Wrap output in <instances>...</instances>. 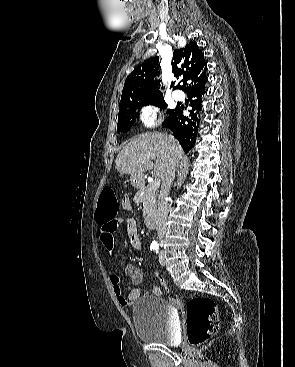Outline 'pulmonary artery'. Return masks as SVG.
Instances as JSON below:
<instances>
[{
    "mask_svg": "<svg viewBox=\"0 0 295 367\" xmlns=\"http://www.w3.org/2000/svg\"><path fill=\"white\" fill-rule=\"evenodd\" d=\"M173 98L175 100H178V101L183 100L184 99V94L181 91H175L173 93Z\"/></svg>",
    "mask_w": 295,
    "mask_h": 367,
    "instance_id": "e3ab8cb5",
    "label": "pulmonary artery"
}]
</instances>
